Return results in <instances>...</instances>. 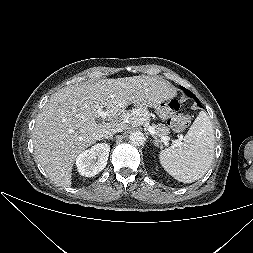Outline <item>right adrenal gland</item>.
I'll return each instance as SVG.
<instances>
[{
    "mask_svg": "<svg viewBox=\"0 0 253 253\" xmlns=\"http://www.w3.org/2000/svg\"><path fill=\"white\" fill-rule=\"evenodd\" d=\"M102 139H109V140H112V139H113V135H110V136L105 137V138H102Z\"/></svg>",
    "mask_w": 253,
    "mask_h": 253,
    "instance_id": "1",
    "label": "right adrenal gland"
}]
</instances>
